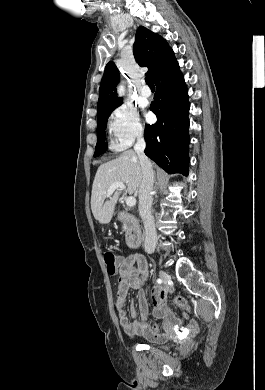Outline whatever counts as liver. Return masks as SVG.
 <instances>
[{
  "label": "liver",
  "mask_w": 265,
  "mask_h": 390,
  "mask_svg": "<svg viewBox=\"0 0 265 390\" xmlns=\"http://www.w3.org/2000/svg\"><path fill=\"white\" fill-rule=\"evenodd\" d=\"M143 172L139 157L133 150L123 152L118 158L100 165L92 186L91 210L93 216L101 224H108L115 211L120 196V189L107 196L110 186L116 182L127 185L129 194L139 195ZM109 198L108 200H106Z\"/></svg>",
  "instance_id": "1"
}]
</instances>
